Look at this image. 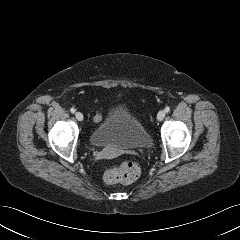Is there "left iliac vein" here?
Returning a JSON list of instances; mask_svg holds the SVG:
<instances>
[{
  "label": "left iliac vein",
  "instance_id": "4c4485c4",
  "mask_svg": "<svg viewBox=\"0 0 240 240\" xmlns=\"http://www.w3.org/2000/svg\"><path fill=\"white\" fill-rule=\"evenodd\" d=\"M164 117H165V111H163V110L159 111L157 114V120L162 121L164 119Z\"/></svg>",
  "mask_w": 240,
  "mask_h": 240
}]
</instances>
